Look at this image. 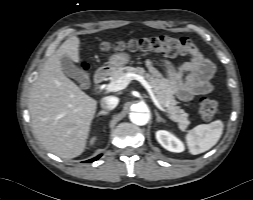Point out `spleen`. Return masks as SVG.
I'll return each mask as SVG.
<instances>
[{"mask_svg": "<svg viewBox=\"0 0 253 200\" xmlns=\"http://www.w3.org/2000/svg\"><path fill=\"white\" fill-rule=\"evenodd\" d=\"M223 123L220 120L194 127L186 135L191 154L196 155L211 149L220 139Z\"/></svg>", "mask_w": 253, "mask_h": 200, "instance_id": "1", "label": "spleen"}]
</instances>
